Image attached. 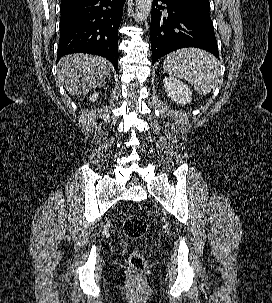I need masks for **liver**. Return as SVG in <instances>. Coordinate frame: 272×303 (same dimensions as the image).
<instances>
[{"label": "liver", "mask_w": 272, "mask_h": 303, "mask_svg": "<svg viewBox=\"0 0 272 303\" xmlns=\"http://www.w3.org/2000/svg\"><path fill=\"white\" fill-rule=\"evenodd\" d=\"M111 71L110 62L91 54H71L58 63V79L70 95H85L100 85Z\"/></svg>", "instance_id": "liver-1"}]
</instances>
